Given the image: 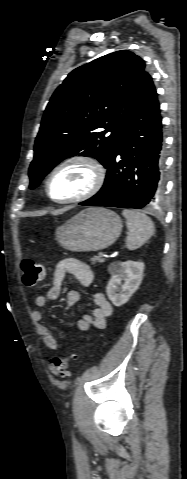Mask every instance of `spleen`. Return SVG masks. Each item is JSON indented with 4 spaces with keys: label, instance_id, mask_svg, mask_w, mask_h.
Instances as JSON below:
<instances>
[{
    "label": "spleen",
    "instance_id": "obj_1",
    "mask_svg": "<svg viewBox=\"0 0 187 479\" xmlns=\"http://www.w3.org/2000/svg\"><path fill=\"white\" fill-rule=\"evenodd\" d=\"M126 218L129 235L126 238V247L129 250L140 248L154 234V224L150 217L138 210L122 211Z\"/></svg>",
    "mask_w": 187,
    "mask_h": 479
}]
</instances>
